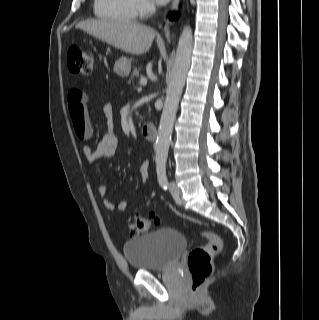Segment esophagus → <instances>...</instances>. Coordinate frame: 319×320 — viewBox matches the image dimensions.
Returning a JSON list of instances; mask_svg holds the SVG:
<instances>
[{
  "instance_id": "esophagus-1",
  "label": "esophagus",
  "mask_w": 319,
  "mask_h": 320,
  "mask_svg": "<svg viewBox=\"0 0 319 320\" xmlns=\"http://www.w3.org/2000/svg\"><path fill=\"white\" fill-rule=\"evenodd\" d=\"M179 1L180 0H173L172 5H171V10L172 11H174V10H176L178 8ZM170 24H171L170 21H167L165 26H164V29H163L165 37L168 40H170V38H171V35H170Z\"/></svg>"
}]
</instances>
